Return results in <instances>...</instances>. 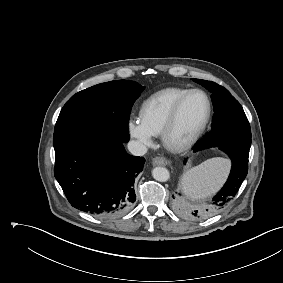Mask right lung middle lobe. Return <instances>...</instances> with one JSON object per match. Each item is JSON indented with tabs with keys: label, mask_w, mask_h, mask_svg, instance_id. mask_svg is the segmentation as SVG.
Instances as JSON below:
<instances>
[{
	"label": "right lung middle lobe",
	"mask_w": 283,
	"mask_h": 283,
	"mask_svg": "<svg viewBox=\"0 0 283 283\" xmlns=\"http://www.w3.org/2000/svg\"><path fill=\"white\" fill-rule=\"evenodd\" d=\"M143 89L134 81L115 80L73 95L57 119L54 149L89 134H106L128 142L130 110Z\"/></svg>",
	"instance_id": "dd1d6c3e"
}]
</instances>
